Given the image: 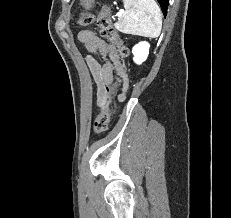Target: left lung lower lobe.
<instances>
[{"label": "left lung lower lobe", "mask_w": 231, "mask_h": 218, "mask_svg": "<svg viewBox=\"0 0 231 218\" xmlns=\"http://www.w3.org/2000/svg\"><path fill=\"white\" fill-rule=\"evenodd\" d=\"M162 8L164 16L167 14V8L169 4V0H157Z\"/></svg>", "instance_id": "0a47b994"}]
</instances>
